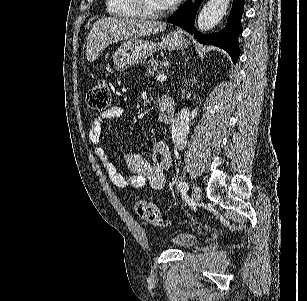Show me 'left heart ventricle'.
<instances>
[{"instance_id":"obj_1","label":"left heart ventricle","mask_w":307,"mask_h":301,"mask_svg":"<svg viewBox=\"0 0 307 301\" xmlns=\"http://www.w3.org/2000/svg\"><path fill=\"white\" fill-rule=\"evenodd\" d=\"M146 2L152 7V11H158L157 5L159 4V0H147Z\"/></svg>"}]
</instances>
